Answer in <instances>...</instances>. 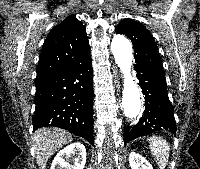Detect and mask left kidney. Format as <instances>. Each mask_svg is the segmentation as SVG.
Listing matches in <instances>:
<instances>
[{"instance_id": "1", "label": "left kidney", "mask_w": 200, "mask_h": 169, "mask_svg": "<svg viewBox=\"0 0 200 169\" xmlns=\"http://www.w3.org/2000/svg\"><path fill=\"white\" fill-rule=\"evenodd\" d=\"M131 169H153L152 165L140 154L131 152L129 155Z\"/></svg>"}]
</instances>
